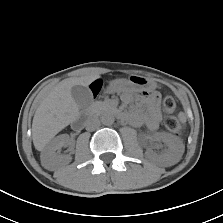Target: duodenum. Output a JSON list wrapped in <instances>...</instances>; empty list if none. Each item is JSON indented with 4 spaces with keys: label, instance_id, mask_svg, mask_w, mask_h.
<instances>
[{
    "label": "duodenum",
    "instance_id": "duodenum-1",
    "mask_svg": "<svg viewBox=\"0 0 223 223\" xmlns=\"http://www.w3.org/2000/svg\"><path fill=\"white\" fill-rule=\"evenodd\" d=\"M118 115H121L120 112L117 113ZM83 125L81 119L77 118L73 122V128H80Z\"/></svg>",
    "mask_w": 223,
    "mask_h": 223
}]
</instances>
